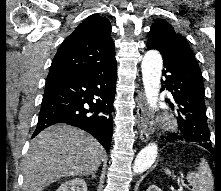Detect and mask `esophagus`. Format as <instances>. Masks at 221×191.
I'll return each mask as SVG.
<instances>
[{
  "label": "esophagus",
  "instance_id": "esophagus-1",
  "mask_svg": "<svg viewBox=\"0 0 221 191\" xmlns=\"http://www.w3.org/2000/svg\"><path fill=\"white\" fill-rule=\"evenodd\" d=\"M136 101H137V120H138L137 126L142 142H146L150 134L149 113L147 111L146 100L142 90L138 92Z\"/></svg>",
  "mask_w": 221,
  "mask_h": 191
}]
</instances>
